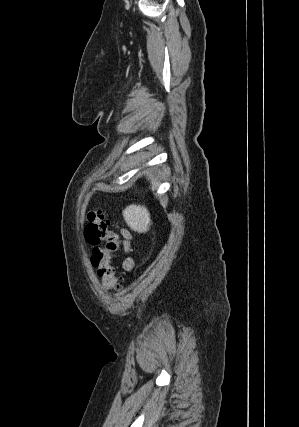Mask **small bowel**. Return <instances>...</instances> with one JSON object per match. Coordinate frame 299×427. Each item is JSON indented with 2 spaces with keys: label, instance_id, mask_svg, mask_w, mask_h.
<instances>
[{
  "label": "small bowel",
  "instance_id": "c3829d8e",
  "mask_svg": "<svg viewBox=\"0 0 299 427\" xmlns=\"http://www.w3.org/2000/svg\"><path fill=\"white\" fill-rule=\"evenodd\" d=\"M121 234L124 237V246H125V248H127L128 244H129V240L131 238V234L125 229L121 230ZM132 266H133L132 259H127L124 263L125 269L130 270L132 268Z\"/></svg>",
  "mask_w": 299,
  "mask_h": 427
}]
</instances>
